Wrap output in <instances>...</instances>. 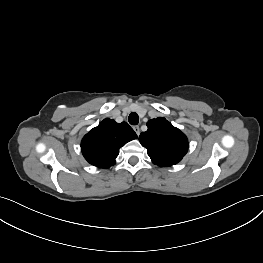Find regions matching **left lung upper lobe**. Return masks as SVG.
Segmentation results:
<instances>
[{"instance_id": "1", "label": "left lung upper lobe", "mask_w": 263, "mask_h": 263, "mask_svg": "<svg viewBox=\"0 0 263 263\" xmlns=\"http://www.w3.org/2000/svg\"><path fill=\"white\" fill-rule=\"evenodd\" d=\"M148 130L139 136L152 162L166 167L177 164L188 151L187 137L165 118L147 122Z\"/></svg>"}]
</instances>
